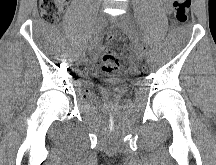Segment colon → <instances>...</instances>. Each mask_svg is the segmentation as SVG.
Instances as JSON below:
<instances>
[{"instance_id":"5ec220e1","label":"colon","mask_w":216,"mask_h":165,"mask_svg":"<svg viewBox=\"0 0 216 165\" xmlns=\"http://www.w3.org/2000/svg\"><path fill=\"white\" fill-rule=\"evenodd\" d=\"M66 0H40L42 18L47 22H56ZM174 20L177 25L186 22L190 10L191 0H170ZM121 59L112 50H108L102 57V71L107 75H116L121 69Z\"/></svg>"}]
</instances>
